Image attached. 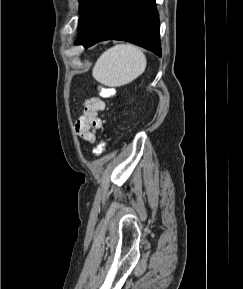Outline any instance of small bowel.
I'll return each mask as SVG.
<instances>
[{
    "label": "small bowel",
    "instance_id": "1",
    "mask_svg": "<svg viewBox=\"0 0 243 289\" xmlns=\"http://www.w3.org/2000/svg\"><path fill=\"white\" fill-rule=\"evenodd\" d=\"M105 109V102L99 97H91L83 103L82 115L78 118L75 131L88 143L95 140L96 130L102 127L100 112Z\"/></svg>",
    "mask_w": 243,
    "mask_h": 289
}]
</instances>
